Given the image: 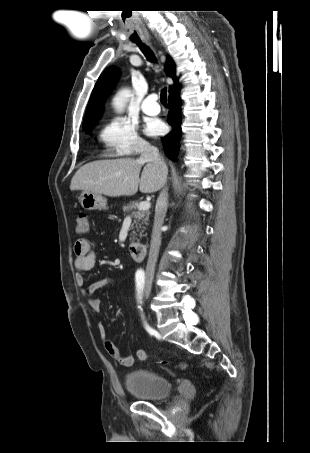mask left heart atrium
I'll return each instance as SVG.
<instances>
[{"label":"left heart atrium","mask_w":310,"mask_h":453,"mask_svg":"<svg viewBox=\"0 0 310 453\" xmlns=\"http://www.w3.org/2000/svg\"><path fill=\"white\" fill-rule=\"evenodd\" d=\"M146 131L150 135L160 134L163 131V124L160 121H153L147 126Z\"/></svg>","instance_id":"obj_1"}]
</instances>
